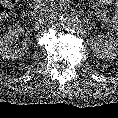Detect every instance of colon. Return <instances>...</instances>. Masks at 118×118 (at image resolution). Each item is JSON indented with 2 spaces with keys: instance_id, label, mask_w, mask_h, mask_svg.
<instances>
[{
  "instance_id": "obj_1",
  "label": "colon",
  "mask_w": 118,
  "mask_h": 118,
  "mask_svg": "<svg viewBox=\"0 0 118 118\" xmlns=\"http://www.w3.org/2000/svg\"><path fill=\"white\" fill-rule=\"evenodd\" d=\"M16 0H0V16L6 15L9 10L11 4Z\"/></svg>"
}]
</instances>
